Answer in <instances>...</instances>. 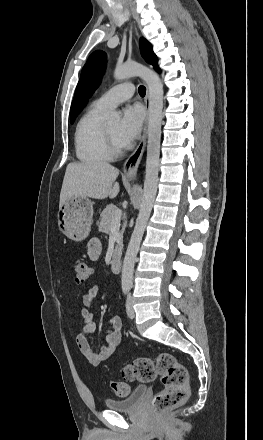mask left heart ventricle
<instances>
[{"mask_svg":"<svg viewBox=\"0 0 263 440\" xmlns=\"http://www.w3.org/2000/svg\"><path fill=\"white\" fill-rule=\"evenodd\" d=\"M107 126L109 128V131L116 143L117 146L119 147H123L122 144L120 143L118 136H117V130H118V126H119V121H111L107 123Z\"/></svg>","mask_w":263,"mask_h":440,"instance_id":"obj_1","label":"left heart ventricle"}]
</instances>
